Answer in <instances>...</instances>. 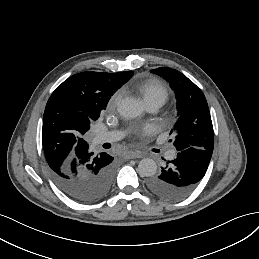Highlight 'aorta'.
<instances>
[{"label": "aorta", "mask_w": 259, "mask_h": 259, "mask_svg": "<svg viewBox=\"0 0 259 259\" xmlns=\"http://www.w3.org/2000/svg\"><path fill=\"white\" fill-rule=\"evenodd\" d=\"M118 113L124 118H136L143 112L142 103L136 99L127 97L122 99L117 106ZM157 172V164L151 158H144L138 164V173L142 177H152Z\"/></svg>", "instance_id": "762f6f07"}]
</instances>
